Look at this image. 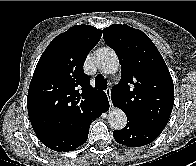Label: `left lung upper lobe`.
<instances>
[{
    "label": "left lung upper lobe",
    "mask_w": 196,
    "mask_h": 166,
    "mask_svg": "<svg viewBox=\"0 0 196 166\" xmlns=\"http://www.w3.org/2000/svg\"><path fill=\"white\" fill-rule=\"evenodd\" d=\"M103 37L121 64V80L111 91L113 105L127 119L162 131L173 109L174 85L160 52L145 33L128 25L113 24Z\"/></svg>",
    "instance_id": "1"
}]
</instances>
